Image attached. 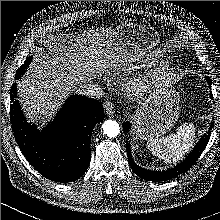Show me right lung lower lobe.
<instances>
[{
  "instance_id": "98d812e1",
  "label": "right lung lower lobe",
  "mask_w": 220,
  "mask_h": 220,
  "mask_svg": "<svg viewBox=\"0 0 220 220\" xmlns=\"http://www.w3.org/2000/svg\"><path fill=\"white\" fill-rule=\"evenodd\" d=\"M11 87L10 120L14 137L28 162L45 178L71 182L87 170L91 159V135L103 121L104 110L97 100L72 95L52 123L41 132L28 123Z\"/></svg>"
}]
</instances>
